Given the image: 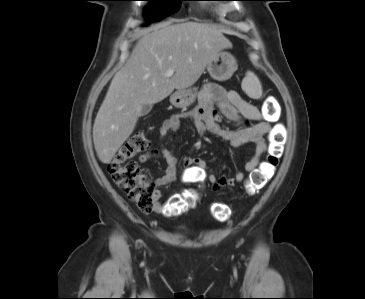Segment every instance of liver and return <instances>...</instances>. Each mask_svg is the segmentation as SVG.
Instances as JSON below:
<instances>
[{"label":"liver","mask_w":365,"mask_h":299,"mask_svg":"<svg viewBox=\"0 0 365 299\" xmlns=\"http://www.w3.org/2000/svg\"><path fill=\"white\" fill-rule=\"evenodd\" d=\"M232 43L214 26L192 21L168 22L143 32L126 64L115 74L93 125L99 160L109 164L134 131L142 107L185 90ZM175 74L166 77L167 70Z\"/></svg>","instance_id":"6515ba94"}]
</instances>
